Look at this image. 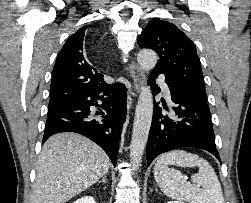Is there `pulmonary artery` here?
Segmentation results:
<instances>
[{
    "label": "pulmonary artery",
    "instance_id": "1",
    "mask_svg": "<svg viewBox=\"0 0 251 203\" xmlns=\"http://www.w3.org/2000/svg\"><path fill=\"white\" fill-rule=\"evenodd\" d=\"M157 81H158L159 84L161 85V88H162L163 92L165 93V95H166V96H169V95H170L169 88H168V86L166 85V83L164 82L163 77L159 76V77L157 78Z\"/></svg>",
    "mask_w": 251,
    "mask_h": 203
}]
</instances>
